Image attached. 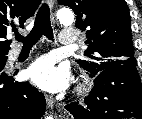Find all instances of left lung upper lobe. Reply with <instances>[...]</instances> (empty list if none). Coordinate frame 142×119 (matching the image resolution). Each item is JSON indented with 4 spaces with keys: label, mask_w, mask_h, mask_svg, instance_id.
<instances>
[{
    "label": "left lung upper lobe",
    "mask_w": 142,
    "mask_h": 119,
    "mask_svg": "<svg viewBox=\"0 0 142 119\" xmlns=\"http://www.w3.org/2000/svg\"><path fill=\"white\" fill-rule=\"evenodd\" d=\"M77 15L76 27L86 31L88 45L79 65L91 75L124 64L137 65L134 58L129 8L125 0H58Z\"/></svg>",
    "instance_id": "1"
}]
</instances>
